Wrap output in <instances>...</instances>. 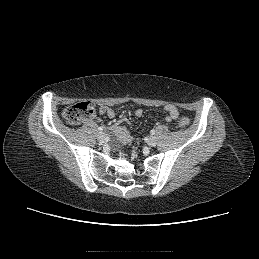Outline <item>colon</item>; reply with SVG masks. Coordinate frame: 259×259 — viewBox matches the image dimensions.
I'll return each mask as SVG.
<instances>
[{
  "instance_id": "colon-1",
  "label": "colon",
  "mask_w": 259,
  "mask_h": 259,
  "mask_svg": "<svg viewBox=\"0 0 259 259\" xmlns=\"http://www.w3.org/2000/svg\"><path fill=\"white\" fill-rule=\"evenodd\" d=\"M96 113V105L89 101L77 102L66 107L63 111V118L70 124H78L81 121L90 118ZM178 124L186 128L190 121L186 116H178Z\"/></svg>"
}]
</instances>
